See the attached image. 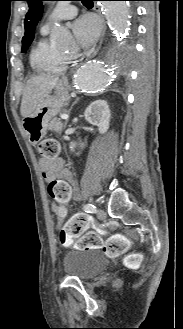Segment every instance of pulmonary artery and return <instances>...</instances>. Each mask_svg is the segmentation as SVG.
Wrapping results in <instances>:
<instances>
[{
  "label": "pulmonary artery",
  "mask_w": 183,
  "mask_h": 329,
  "mask_svg": "<svg viewBox=\"0 0 183 329\" xmlns=\"http://www.w3.org/2000/svg\"><path fill=\"white\" fill-rule=\"evenodd\" d=\"M77 14V7L68 3V2H60L56 5V7L52 10L45 23L42 26L43 32H48L51 24L71 19Z\"/></svg>",
  "instance_id": "obj_1"
}]
</instances>
